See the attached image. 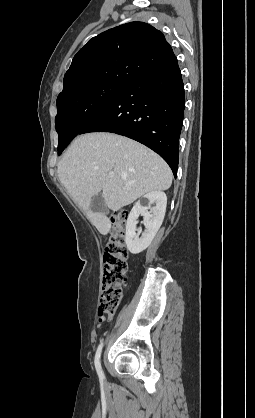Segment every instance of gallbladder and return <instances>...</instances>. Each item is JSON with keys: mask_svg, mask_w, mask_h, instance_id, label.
Returning a JSON list of instances; mask_svg holds the SVG:
<instances>
[{"mask_svg": "<svg viewBox=\"0 0 255 418\" xmlns=\"http://www.w3.org/2000/svg\"><path fill=\"white\" fill-rule=\"evenodd\" d=\"M90 207L91 210L95 213L105 214L107 212V205L101 192L92 198Z\"/></svg>", "mask_w": 255, "mask_h": 418, "instance_id": "bac80fb5", "label": "gallbladder"}]
</instances>
